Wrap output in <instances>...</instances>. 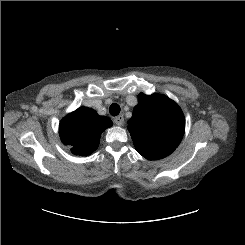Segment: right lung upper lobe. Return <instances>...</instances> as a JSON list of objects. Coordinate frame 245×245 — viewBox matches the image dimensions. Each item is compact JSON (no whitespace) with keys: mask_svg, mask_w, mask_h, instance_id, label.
<instances>
[{"mask_svg":"<svg viewBox=\"0 0 245 245\" xmlns=\"http://www.w3.org/2000/svg\"><path fill=\"white\" fill-rule=\"evenodd\" d=\"M111 126L112 121L108 117L80 107L61 120L59 134L65 145L72 146V153L86 156L97 149L100 135Z\"/></svg>","mask_w":245,"mask_h":245,"instance_id":"cb5924a9","label":"right lung upper lobe"}]
</instances>
